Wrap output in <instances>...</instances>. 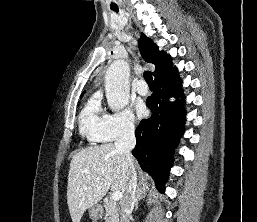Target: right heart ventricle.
I'll use <instances>...</instances> for the list:
<instances>
[{
  "instance_id": "obj_1",
  "label": "right heart ventricle",
  "mask_w": 257,
  "mask_h": 222,
  "mask_svg": "<svg viewBox=\"0 0 257 222\" xmlns=\"http://www.w3.org/2000/svg\"><path fill=\"white\" fill-rule=\"evenodd\" d=\"M106 115L101 106L99 93L92 95L79 115V131L90 143L104 142L101 137Z\"/></svg>"
}]
</instances>
